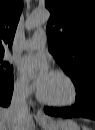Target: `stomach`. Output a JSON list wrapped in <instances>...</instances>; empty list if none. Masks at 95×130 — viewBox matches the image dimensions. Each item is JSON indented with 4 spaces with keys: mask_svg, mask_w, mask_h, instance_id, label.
Segmentation results:
<instances>
[{
    "mask_svg": "<svg viewBox=\"0 0 95 130\" xmlns=\"http://www.w3.org/2000/svg\"><path fill=\"white\" fill-rule=\"evenodd\" d=\"M44 130H80L78 124L71 119L50 120L47 124H42Z\"/></svg>",
    "mask_w": 95,
    "mask_h": 130,
    "instance_id": "0dacf381",
    "label": "stomach"
}]
</instances>
